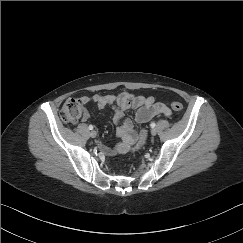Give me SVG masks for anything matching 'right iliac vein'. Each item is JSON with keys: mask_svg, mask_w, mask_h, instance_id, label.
<instances>
[{"mask_svg": "<svg viewBox=\"0 0 243 243\" xmlns=\"http://www.w3.org/2000/svg\"><path fill=\"white\" fill-rule=\"evenodd\" d=\"M90 136H91L92 138H95V137L97 136L96 131L92 130V131L90 132Z\"/></svg>", "mask_w": 243, "mask_h": 243, "instance_id": "obj_1", "label": "right iliac vein"}]
</instances>
